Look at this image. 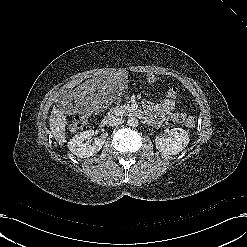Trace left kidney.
Instances as JSON below:
<instances>
[{
	"mask_svg": "<svg viewBox=\"0 0 247 247\" xmlns=\"http://www.w3.org/2000/svg\"><path fill=\"white\" fill-rule=\"evenodd\" d=\"M168 137L160 136L155 140L156 148L168 155H176L189 144L188 132L182 128L167 130Z\"/></svg>",
	"mask_w": 247,
	"mask_h": 247,
	"instance_id": "left-kidney-1",
	"label": "left kidney"
}]
</instances>
